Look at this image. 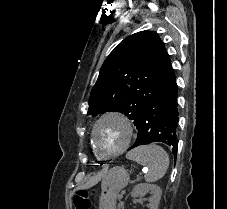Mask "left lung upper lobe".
I'll return each mask as SVG.
<instances>
[{
    "mask_svg": "<svg viewBox=\"0 0 227 209\" xmlns=\"http://www.w3.org/2000/svg\"><path fill=\"white\" fill-rule=\"evenodd\" d=\"M174 75L158 34L125 38L104 61L89 98L88 115L120 112L136 126L147 103Z\"/></svg>",
    "mask_w": 227,
    "mask_h": 209,
    "instance_id": "1",
    "label": "left lung upper lobe"
}]
</instances>
